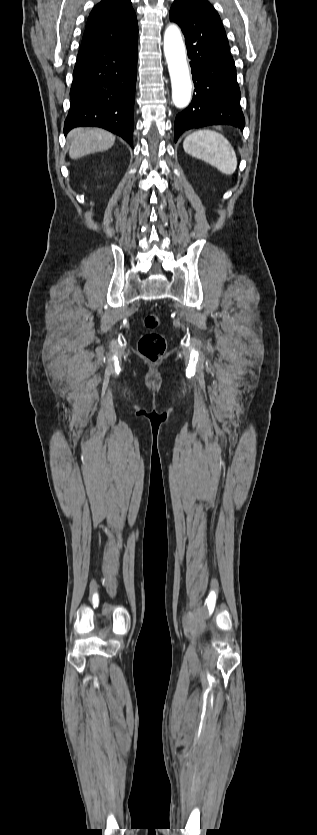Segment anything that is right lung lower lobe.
Masks as SVG:
<instances>
[{"mask_svg": "<svg viewBox=\"0 0 317 835\" xmlns=\"http://www.w3.org/2000/svg\"><path fill=\"white\" fill-rule=\"evenodd\" d=\"M137 39L118 45L82 44L73 71L64 135L81 126L109 130L133 147Z\"/></svg>", "mask_w": 317, "mask_h": 835, "instance_id": "obj_1", "label": "right lung lower lobe"}]
</instances>
